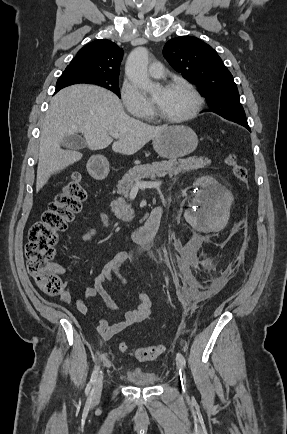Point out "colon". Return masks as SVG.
Masks as SVG:
<instances>
[{
  "mask_svg": "<svg viewBox=\"0 0 287 434\" xmlns=\"http://www.w3.org/2000/svg\"><path fill=\"white\" fill-rule=\"evenodd\" d=\"M225 161L240 182L247 181L248 170L237 162L234 154L227 155ZM86 197L87 191L81 175L74 172L61 192L50 202L42 214L41 220L35 222L29 230L28 242L25 247L28 271L37 285L48 296L58 297L63 293V282L51 268L50 262L55 255L59 234L66 230L68 223L81 210ZM119 350L126 352L128 345L121 342ZM163 351L164 348L161 345L137 348L134 351V357L138 361L148 362L159 357Z\"/></svg>",
  "mask_w": 287,
  "mask_h": 434,
  "instance_id": "5ec220e1",
  "label": "colon"
}]
</instances>
